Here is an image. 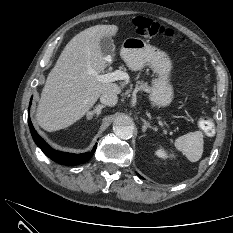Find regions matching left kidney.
Wrapping results in <instances>:
<instances>
[{"label": "left kidney", "instance_id": "left-kidney-1", "mask_svg": "<svg viewBox=\"0 0 233 233\" xmlns=\"http://www.w3.org/2000/svg\"><path fill=\"white\" fill-rule=\"evenodd\" d=\"M156 155L158 156V157H160V158H163V159H165V158H167L168 157V154L166 153V151L164 150V149H162V148H160V149H158L157 151H156ZM170 157H174V155H169Z\"/></svg>", "mask_w": 233, "mask_h": 233}]
</instances>
